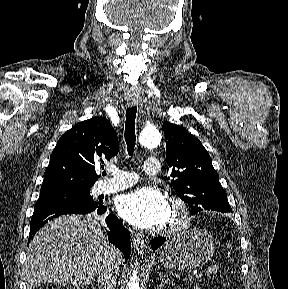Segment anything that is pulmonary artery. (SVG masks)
<instances>
[{"label": "pulmonary artery", "mask_w": 288, "mask_h": 289, "mask_svg": "<svg viewBox=\"0 0 288 289\" xmlns=\"http://www.w3.org/2000/svg\"><path fill=\"white\" fill-rule=\"evenodd\" d=\"M160 171V162L157 158H147L144 162V172L149 176H157ZM137 182V175L131 172L116 171L109 180L97 185V194H108L123 190Z\"/></svg>", "instance_id": "e3ab8cb5"}]
</instances>
